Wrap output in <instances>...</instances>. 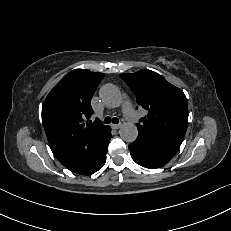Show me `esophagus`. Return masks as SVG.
Segmentation results:
<instances>
[{"label":"esophagus","mask_w":231,"mask_h":231,"mask_svg":"<svg viewBox=\"0 0 231 231\" xmlns=\"http://www.w3.org/2000/svg\"><path fill=\"white\" fill-rule=\"evenodd\" d=\"M111 127L113 129H119L121 127V124H112Z\"/></svg>","instance_id":"34e87169"}]
</instances>
